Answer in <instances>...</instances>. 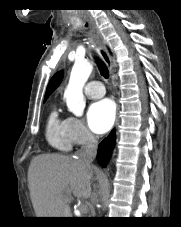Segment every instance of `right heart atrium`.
<instances>
[{
	"instance_id": "right-heart-atrium-1",
	"label": "right heart atrium",
	"mask_w": 181,
	"mask_h": 227,
	"mask_svg": "<svg viewBox=\"0 0 181 227\" xmlns=\"http://www.w3.org/2000/svg\"><path fill=\"white\" fill-rule=\"evenodd\" d=\"M66 131L72 144L83 146L90 144L94 140V136L84 125L83 121L77 117H68L66 123Z\"/></svg>"
}]
</instances>
